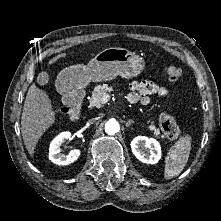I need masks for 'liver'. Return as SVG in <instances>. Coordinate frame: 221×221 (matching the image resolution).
Wrapping results in <instances>:
<instances>
[{"instance_id":"liver-1","label":"liver","mask_w":221,"mask_h":221,"mask_svg":"<svg viewBox=\"0 0 221 221\" xmlns=\"http://www.w3.org/2000/svg\"><path fill=\"white\" fill-rule=\"evenodd\" d=\"M64 57L66 53L58 54L48 64L52 65ZM55 120L56 114L48 94L32 84L28 89L21 117V133L30 155L34 154L39 139L55 123Z\"/></svg>"}]
</instances>
